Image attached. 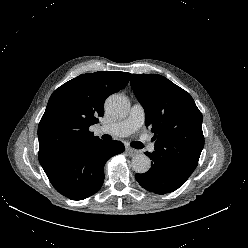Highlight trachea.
I'll use <instances>...</instances> for the list:
<instances>
[{
    "instance_id": "obj_1",
    "label": "trachea",
    "mask_w": 248,
    "mask_h": 248,
    "mask_svg": "<svg viewBox=\"0 0 248 248\" xmlns=\"http://www.w3.org/2000/svg\"><path fill=\"white\" fill-rule=\"evenodd\" d=\"M102 138L105 139V140H110L111 139V136H109V135H103ZM131 146L133 148H136V149H142L143 148V143H141L139 141H134V142L131 143Z\"/></svg>"
}]
</instances>
